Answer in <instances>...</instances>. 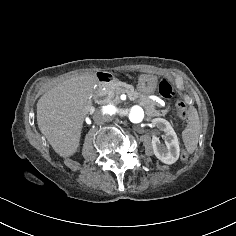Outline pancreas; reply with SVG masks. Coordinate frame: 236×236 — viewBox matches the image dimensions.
Listing matches in <instances>:
<instances>
[{
  "label": "pancreas",
  "instance_id": "pancreas-1",
  "mask_svg": "<svg viewBox=\"0 0 236 236\" xmlns=\"http://www.w3.org/2000/svg\"><path fill=\"white\" fill-rule=\"evenodd\" d=\"M109 92H111L110 99L113 102H119L118 96L126 93L131 100L136 101L140 106L144 107L147 116H165L168 112L167 109L157 110L156 107H161V105L146 95L134 90L132 85L122 82H114L113 86L109 89ZM113 95L116 98H113Z\"/></svg>",
  "mask_w": 236,
  "mask_h": 236
}]
</instances>
